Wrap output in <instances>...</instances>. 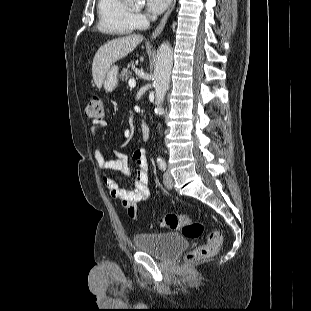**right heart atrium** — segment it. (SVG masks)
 Masks as SVG:
<instances>
[{"mask_svg":"<svg viewBox=\"0 0 311 311\" xmlns=\"http://www.w3.org/2000/svg\"><path fill=\"white\" fill-rule=\"evenodd\" d=\"M134 21H135L137 26H142L145 24L146 19L142 14L136 13V14H134Z\"/></svg>","mask_w":311,"mask_h":311,"instance_id":"d8ad5b80","label":"right heart atrium"}]
</instances>
